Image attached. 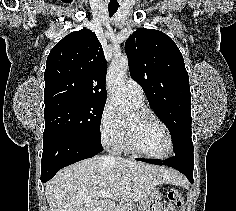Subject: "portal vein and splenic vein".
I'll use <instances>...</instances> for the list:
<instances>
[{
	"label": "portal vein and splenic vein",
	"instance_id": "obj_1",
	"mask_svg": "<svg viewBox=\"0 0 236 211\" xmlns=\"http://www.w3.org/2000/svg\"><path fill=\"white\" fill-rule=\"evenodd\" d=\"M99 196L102 197V198H113V199H115V197L112 194H110L109 192H101Z\"/></svg>",
	"mask_w": 236,
	"mask_h": 211
}]
</instances>
